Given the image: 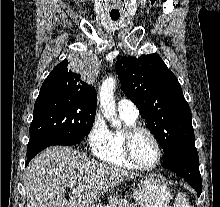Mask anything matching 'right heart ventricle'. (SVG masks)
I'll use <instances>...</instances> for the list:
<instances>
[{"mask_svg":"<svg viewBox=\"0 0 220 207\" xmlns=\"http://www.w3.org/2000/svg\"><path fill=\"white\" fill-rule=\"evenodd\" d=\"M120 117L124 123L123 128L108 130L103 145L94 152V155L99 160L109 165L125 169H136V167L132 165L124 155L122 138L124 130L129 126L135 125L137 118H132L125 114H120Z\"/></svg>","mask_w":220,"mask_h":207,"instance_id":"1","label":"right heart ventricle"}]
</instances>
